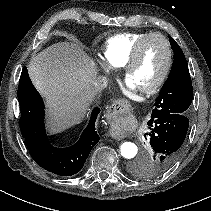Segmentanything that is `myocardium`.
Returning a JSON list of instances; mask_svg holds the SVG:
<instances>
[{
	"label": "myocardium",
	"instance_id": "1",
	"mask_svg": "<svg viewBox=\"0 0 211 211\" xmlns=\"http://www.w3.org/2000/svg\"><path fill=\"white\" fill-rule=\"evenodd\" d=\"M153 37L160 38L163 41L166 51H167V60H166L165 67H164L161 75L159 76V78L156 80V82L148 88L139 90L141 93L146 94V95L154 94L155 92H157L163 86V84L165 83V81L168 78L169 73L171 71V67H172V63H173V51H172L171 44H170L169 40L167 39V37L159 32H150V33L145 34L134 45L129 58L124 65V76L126 79H128L129 73H130L131 69L133 68V66L135 65V63L137 62V60L139 58L140 51H141L144 43L148 39L153 38Z\"/></svg>",
	"mask_w": 211,
	"mask_h": 211
}]
</instances>
